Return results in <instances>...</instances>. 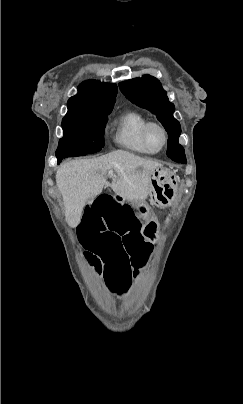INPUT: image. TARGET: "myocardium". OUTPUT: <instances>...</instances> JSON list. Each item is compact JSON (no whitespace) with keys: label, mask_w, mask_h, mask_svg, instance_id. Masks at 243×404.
I'll use <instances>...</instances> for the list:
<instances>
[{"label":"myocardium","mask_w":243,"mask_h":404,"mask_svg":"<svg viewBox=\"0 0 243 404\" xmlns=\"http://www.w3.org/2000/svg\"><path fill=\"white\" fill-rule=\"evenodd\" d=\"M152 127H156L162 133L163 141L159 147H154L149 139L148 132ZM141 137H142V140L147 145L157 148L158 150L163 149L167 145L168 140H169V134H168L167 128L164 126L163 123H161L157 120H147L144 123V125L142 126V129H141Z\"/></svg>","instance_id":"f54148a6"}]
</instances>
